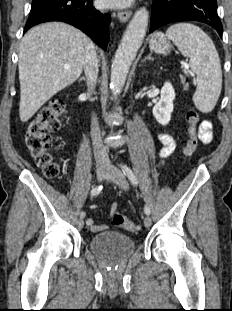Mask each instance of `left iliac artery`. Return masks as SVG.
I'll return each instance as SVG.
<instances>
[{"instance_id":"obj_1","label":"left iliac artery","mask_w":232,"mask_h":311,"mask_svg":"<svg viewBox=\"0 0 232 311\" xmlns=\"http://www.w3.org/2000/svg\"><path fill=\"white\" fill-rule=\"evenodd\" d=\"M122 171L127 176V178L130 180V182L133 185H137V183H138L137 179H136L134 173L132 172V170L129 167H127L126 165H122ZM144 211H145V213L147 215L150 214V208L147 205H145Z\"/></svg>"}]
</instances>
